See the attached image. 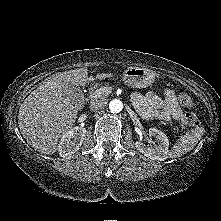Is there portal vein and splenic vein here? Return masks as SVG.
<instances>
[{"mask_svg": "<svg viewBox=\"0 0 221 221\" xmlns=\"http://www.w3.org/2000/svg\"><path fill=\"white\" fill-rule=\"evenodd\" d=\"M107 92H108V89L106 87H102V88H99L98 90H96L95 93H96V95L101 96Z\"/></svg>", "mask_w": 221, "mask_h": 221, "instance_id": "portal-vein-and-splenic-vein-1", "label": "portal vein and splenic vein"}]
</instances>
